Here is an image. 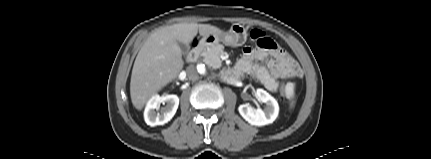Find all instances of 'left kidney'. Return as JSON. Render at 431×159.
<instances>
[{
    "mask_svg": "<svg viewBox=\"0 0 431 159\" xmlns=\"http://www.w3.org/2000/svg\"><path fill=\"white\" fill-rule=\"evenodd\" d=\"M255 96L258 101L266 104L265 109H254L249 104H242L238 107L240 115L251 125L264 126L272 123L279 113L277 101L263 89H257Z\"/></svg>",
    "mask_w": 431,
    "mask_h": 159,
    "instance_id": "1",
    "label": "left kidney"
}]
</instances>
